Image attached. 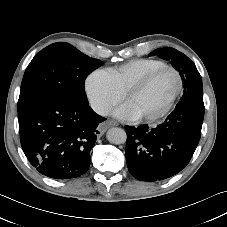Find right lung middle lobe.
<instances>
[{
  "mask_svg": "<svg viewBox=\"0 0 227 227\" xmlns=\"http://www.w3.org/2000/svg\"><path fill=\"white\" fill-rule=\"evenodd\" d=\"M102 61L65 42L41 50L28 65L20 89L18 112L46 98H62L88 105L86 77Z\"/></svg>",
  "mask_w": 227,
  "mask_h": 227,
  "instance_id": "1",
  "label": "right lung middle lobe"
}]
</instances>
